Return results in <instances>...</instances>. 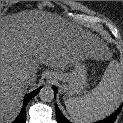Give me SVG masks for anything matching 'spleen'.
<instances>
[{"label": "spleen", "mask_w": 123, "mask_h": 123, "mask_svg": "<svg viewBox=\"0 0 123 123\" xmlns=\"http://www.w3.org/2000/svg\"><path fill=\"white\" fill-rule=\"evenodd\" d=\"M123 77L117 61H111L99 84L88 94L65 100L75 123H92L109 116L120 103Z\"/></svg>", "instance_id": "obj_1"}]
</instances>
